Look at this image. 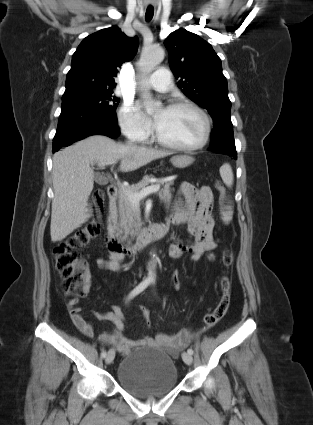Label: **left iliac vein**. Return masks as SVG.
<instances>
[{
  "label": "left iliac vein",
  "instance_id": "1",
  "mask_svg": "<svg viewBox=\"0 0 313 425\" xmlns=\"http://www.w3.org/2000/svg\"><path fill=\"white\" fill-rule=\"evenodd\" d=\"M182 359L183 361L187 364V365H191L193 362V357L191 354H189L188 352H184L182 354Z\"/></svg>",
  "mask_w": 313,
  "mask_h": 425
}]
</instances>
